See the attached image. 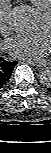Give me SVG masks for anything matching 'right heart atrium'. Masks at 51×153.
<instances>
[{
  "instance_id": "right-heart-atrium-1",
  "label": "right heart atrium",
  "mask_w": 51,
  "mask_h": 153,
  "mask_svg": "<svg viewBox=\"0 0 51 153\" xmlns=\"http://www.w3.org/2000/svg\"><path fill=\"white\" fill-rule=\"evenodd\" d=\"M11 10L7 2H4L0 6V32L4 35L11 31Z\"/></svg>"
}]
</instances>
